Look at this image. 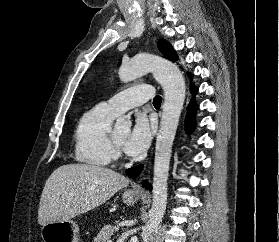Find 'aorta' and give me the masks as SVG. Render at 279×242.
<instances>
[{
    "instance_id": "aorta-1",
    "label": "aorta",
    "mask_w": 279,
    "mask_h": 242,
    "mask_svg": "<svg viewBox=\"0 0 279 242\" xmlns=\"http://www.w3.org/2000/svg\"><path fill=\"white\" fill-rule=\"evenodd\" d=\"M148 72H152L163 87L164 104L155 147L153 202L148 215L149 220L143 227V242L149 241L165 214L172 145L186 93L185 80L179 68L171 61L159 56L138 54L128 63L123 64L118 73L121 81L129 82ZM130 126V117L123 116L117 119L115 130L127 131Z\"/></svg>"
}]
</instances>
